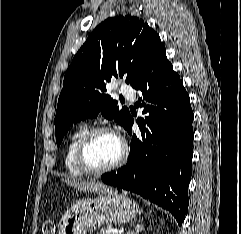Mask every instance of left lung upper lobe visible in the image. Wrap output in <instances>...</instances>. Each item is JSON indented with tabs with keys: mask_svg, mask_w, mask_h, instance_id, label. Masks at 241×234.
Returning <instances> with one entry per match:
<instances>
[{
	"mask_svg": "<svg viewBox=\"0 0 241 234\" xmlns=\"http://www.w3.org/2000/svg\"><path fill=\"white\" fill-rule=\"evenodd\" d=\"M164 47L157 32L136 17L117 16L100 23L65 73L54 120L57 146L73 124L99 113L125 128L130 112L117 107L106 85L125 77L132 86Z\"/></svg>",
	"mask_w": 241,
	"mask_h": 234,
	"instance_id": "obj_1",
	"label": "left lung upper lobe"
}]
</instances>
